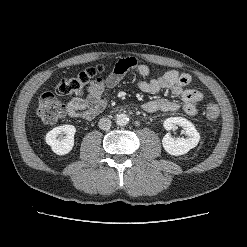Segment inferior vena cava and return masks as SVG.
<instances>
[{"label": "inferior vena cava", "instance_id": "602c4592", "mask_svg": "<svg viewBox=\"0 0 247 247\" xmlns=\"http://www.w3.org/2000/svg\"><path fill=\"white\" fill-rule=\"evenodd\" d=\"M98 126L102 130H108L111 127V120L109 118L103 117L99 120Z\"/></svg>", "mask_w": 247, "mask_h": 247}]
</instances>
